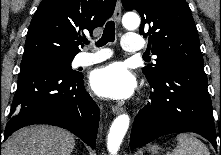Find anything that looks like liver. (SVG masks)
Listing matches in <instances>:
<instances>
[{"instance_id": "6515ba94", "label": "liver", "mask_w": 221, "mask_h": 155, "mask_svg": "<svg viewBox=\"0 0 221 155\" xmlns=\"http://www.w3.org/2000/svg\"><path fill=\"white\" fill-rule=\"evenodd\" d=\"M73 134L55 126L35 125L12 134L4 144L2 155H71Z\"/></svg>"}]
</instances>
